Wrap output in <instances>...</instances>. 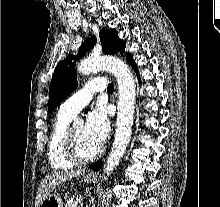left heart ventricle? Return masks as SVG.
<instances>
[{"label": "left heart ventricle", "instance_id": "obj_1", "mask_svg": "<svg viewBox=\"0 0 220 207\" xmlns=\"http://www.w3.org/2000/svg\"><path fill=\"white\" fill-rule=\"evenodd\" d=\"M73 134L78 153L81 156H91L99 149V146L87 137L82 125L74 126Z\"/></svg>", "mask_w": 220, "mask_h": 207}]
</instances>
